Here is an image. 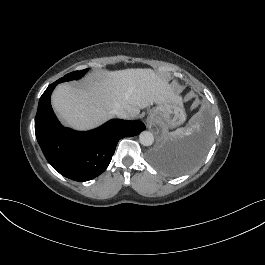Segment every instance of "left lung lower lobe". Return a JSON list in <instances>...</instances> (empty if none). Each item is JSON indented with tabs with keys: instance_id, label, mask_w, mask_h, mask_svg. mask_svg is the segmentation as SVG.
<instances>
[{
	"instance_id": "0a47b994",
	"label": "left lung lower lobe",
	"mask_w": 265,
	"mask_h": 265,
	"mask_svg": "<svg viewBox=\"0 0 265 265\" xmlns=\"http://www.w3.org/2000/svg\"><path fill=\"white\" fill-rule=\"evenodd\" d=\"M210 136V122L203 118L187 136L159 144L149 153V161L171 176L182 175L200 163L209 147Z\"/></svg>"
}]
</instances>
